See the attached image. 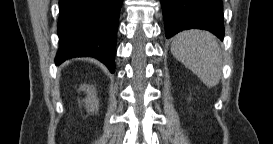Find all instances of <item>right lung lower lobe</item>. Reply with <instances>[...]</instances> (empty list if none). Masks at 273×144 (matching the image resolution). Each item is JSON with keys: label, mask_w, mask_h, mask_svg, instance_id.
<instances>
[{"label": "right lung lower lobe", "mask_w": 273, "mask_h": 144, "mask_svg": "<svg viewBox=\"0 0 273 144\" xmlns=\"http://www.w3.org/2000/svg\"><path fill=\"white\" fill-rule=\"evenodd\" d=\"M122 0H59V50L55 62L95 57L111 73Z\"/></svg>", "instance_id": "right-lung-lower-lobe-1"}]
</instances>
